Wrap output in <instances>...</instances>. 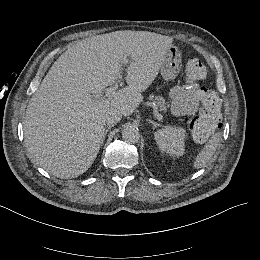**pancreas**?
I'll return each mask as SVG.
<instances>
[{
    "label": "pancreas",
    "instance_id": "1",
    "mask_svg": "<svg viewBox=\"0 0 260 260\" xmlns=\"http://www.w3.org/2000/svg\"><path fill=\"white\" fill-rule=\"evenodd\" d=\"M150 100H152V103L154 107H157L159 111L161 112H167L168 105L165 102V99L162 96H153L151 95Z\"/></svg>",
    "mask_w": 260,
    "mask_h": 260
}]
</instances>
